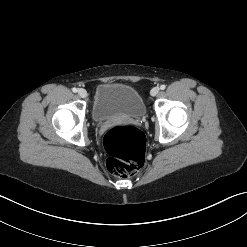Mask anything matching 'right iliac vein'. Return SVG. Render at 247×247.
I'll return each mask as SVG.
<instances>
[{
    "mask_svg": "<svg viewBox=\"0 0 247 247\" xmlns=\"http://www.w3.org/2000/svg\"><path fill=\"white\" fill-rule=\"evenodd\" d=\"M78 95L81 97V98H85L87 96V91L83 88H80L78 90Z\"/></svg>",
    "mask_w": 247,
    "mask_h": 247,
    "instance_id": "right-iliac-vein-1",
    "label": "right iliac vein"
}]
</instances>
